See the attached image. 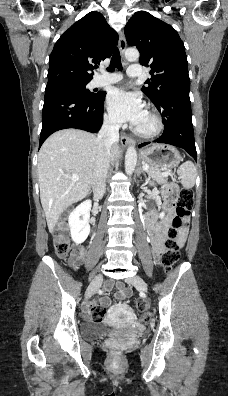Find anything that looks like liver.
<instances>
[{
    "mask_svg": "<svg viewBox=\"0 0 228 396\" xmlns=\"http://www.w3.org/2000/svg\"><path fill=\"white\" fill-rule=\"evenodd\" d=\"M98 152L96 135L78 129L60 130L43 143L38 155V180L50 232L66 208L89 194ZM120 153L118 144H113L110 160ZM73 175L79 180L72 181Z\"/></svg>",
    "mask_w": 228,
    "mask_h": 396,
    "instance_id": "1",
    "label": "liver"
}]
</instances>
